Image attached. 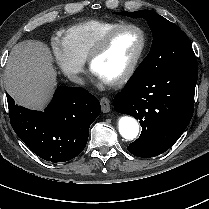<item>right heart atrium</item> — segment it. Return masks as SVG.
Returning a JSON list of instances; mask_svg holds the SVG:
<instances>
[{"label":"right heart atrium","mask_w":209,"mask_h":209,"mask_svg":"<svg viewBox=\"0 0 209 209\" xmlns=\"http://www.w3.org/2000/svg\"><path fill=\"white\" fill-rule=\"evenodd\" d=\"M52 51L55 61L61 71L73 80H79L83 71V61L74 56L64 39L53 36Z\"/></svg>","instance_id":"1"}]
</instances>
